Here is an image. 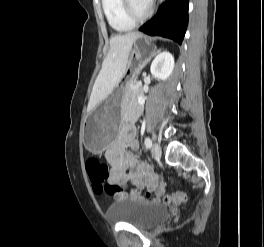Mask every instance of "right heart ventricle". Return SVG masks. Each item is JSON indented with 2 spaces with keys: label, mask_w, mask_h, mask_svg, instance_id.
I'll list each match as a JSON object with an SVG mask.
<instances>
[{
  "label": "right heart ventricle",
  "mask_w": 264,
  "mask_h": 247,
  "mask_svg": "<svg viewBox=\"0 0 264 247\" xmlns=\"http://www.w3.org/2000/svg\"><path fill=\"white\" fill-rule=\"evenodd\" d=\"M102 9L110 26L118 31L125 32L134 27L122 7V0H102Z\"/></svg>",
  "instance_id": "right-heart-ventricle-1"
}]
</instances>
